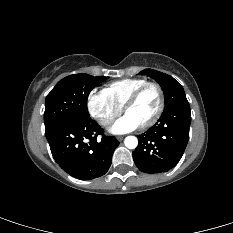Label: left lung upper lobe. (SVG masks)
I'll list each match as a JSON object with an SVG mask.
<instances>
[{
	"label": "left lung upper lobe",
	"mask_w": 233,
	"mask_h": 233,
	"mask_svg": "<svg viewBox=\"0 0 233 233\" xmlns=\"http://www.w3.org/2000/svg\"><path fill=\"white\" fill-rule=\"evenodd\" d=\"M140 75H149L155 79L164 91L165 108L168 109L178 101L186 99L183 87L170 75L153 70L145 69L139 73Z\"/></svg>",
	"instance_id": "1"
}]
</instances>
